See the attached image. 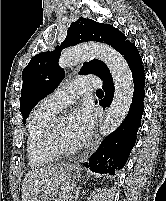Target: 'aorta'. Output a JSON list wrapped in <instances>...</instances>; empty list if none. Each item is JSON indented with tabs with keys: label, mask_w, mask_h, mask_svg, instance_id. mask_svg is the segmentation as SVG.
<instances>
[{
	"label": "aorta",
	"mask_w": 166,
	"mask_h": 201,
	"mask_svg": "<svg viewBox=\"0 0 166 201\" xmlns=\"http://www.w3.org/2000/svg\"><path fill=\"white\" fill-rule=\"evenodd\" d=\"M91 58H97L107 65L114 82L113 101L100 129L101 134L107 136L117 129L128 114L134 93L133 77L124 57L105 44H83L69 48L61 54L59 66L66 69Z\"/></svg>",
	"instance_id": "aorta-1"
}]
</instances>
